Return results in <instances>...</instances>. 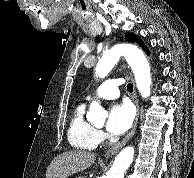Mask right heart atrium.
I'll use <instances>...</instances> for the list:
<instances>
[{
  "instance_id": "obj_1",
  "label": "right heart atrium",
  "mask_w": 194,
  "mask_h": 178,
  "mask_svg": "<svg viewBox=\"0 0 194 178\" xmlns=\"http://www.w3.org/2000/svg\"><path fill=\"white\" fill-rule=\"evenodd\" d=\"M97 139L102 142L106 139V134L102 130H97Z\"/></svg>"
}]
</instances>
